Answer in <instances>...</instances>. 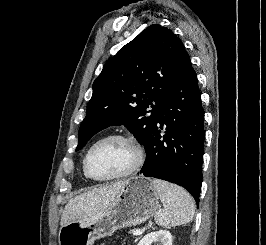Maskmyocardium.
Returning <instances> with one entry per match:
<instances>
[{"label":"myocardium","mask_w":266,"mask_h":245,"mask_svg":"<svg viewBox=\"0 0 266 245\" xmlns=\"http://www.w3.org/2000/svg\"><path fill=\"white\" fill-rule=\"evenodd\" d=\"M110 139H119L125 142L130 143L136 151V157L134 160L133 165L131 166V168L129 170H127L125 173H122L120 175L117 176H113V177H108V178H98L96 176H94L93 174H91V172L89 171V158L90 155L92 153V151L102 142L106 141V140H110ZM144 157H145V152L144 149L142 147V145L133 137H130L126 134H122V133H110L107 135H104L102 137H100L98 140H96L86 151L84 159H83V167H84V171L86 173V175L94 181H98V182H111V181H116V180H121L124 178H127L131 175H133L134 173H136L139 168L142 166L143 161H144Z\"/></svg>","instance_id":"myocardium-1"}]
</instances>
